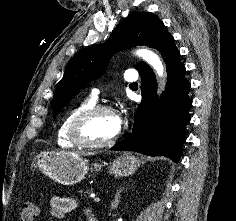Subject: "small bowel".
Wrapping results in <instances>:
<instances>
[{
  "instance_id": "obj_1",
  "label": "small bowel",
  "mask_w": 236,
  "mask_h": 221,
  "mask_svg": "<svg viewBox=\"0 0 236 221\" xmlns=\"http://www.w3.org/2000/svg\"><path fill=\"white\" fill-rule=\"evenodd\" d=\"M77 208V201L71 197L55 196L50 200V218L51 220L64 219L67 214Z\"/></svg>"
}]
</instances>
